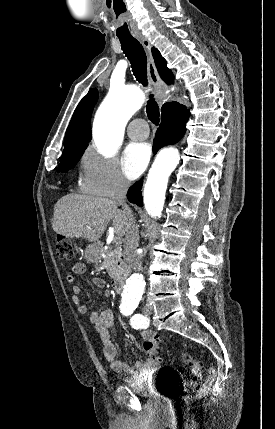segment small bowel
Returning <instances> with one entry per match:
<instances>
[{
	"mask_svg": "<svg viewBox=\"0 0 275 429\" xmlns=\"http://www.w3.org/2000/svg\"><path fill=\"white\" fill-rule=\"evenodd\" d=\"M85 270L86 266L84 263H76L72 268L73 273L67 276L68 282L73 284L75 282V275L82 274L85 272ZM96 283L99 286L104 285L102 280H97ZM81 293V287L79 285L73 284L72 301L76 306L77 311L84 315L88 312V308L81 297ZM89 321L100 335L104 356L108 360L113 371L122 374L126 379L130 380V378H139L157 369L158 363L154 359H147L144 362L138 361L135 362L132 366H129L124 360L117 357L118 348L111 338L114 318L110 309L102 307L92 312L89 316ZM141 335L143 338V346L148 341H154L158 339L155 333L150 330L142 331Z\"/></svg>",
	"mask_w": 275,
	"mask_h": 429,
	"instance_id": "1",
	"label": "small bowel"
}]
</instances>
